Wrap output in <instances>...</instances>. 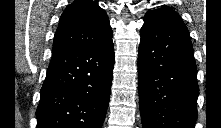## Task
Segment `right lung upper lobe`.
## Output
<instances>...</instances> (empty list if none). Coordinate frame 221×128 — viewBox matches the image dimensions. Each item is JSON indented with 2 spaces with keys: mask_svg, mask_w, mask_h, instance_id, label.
<instances>
[{
  "mask_svg": "<svg viewBox=\"0 0 221 128\" xmlns=\"http://www.w3.org/2000/svg\"><path fill=\"white\" fill-rule=\"evenodd\" d=\"M112 35L108 16L97 1L77 0L60 17L52 53L103 46Z\"/></svg>",
  "mask_w": 221,
  "mask_h": 128,
  "instance_id": "cb5924a9",
  "label": "right lung upper lobe"
}]
</instances>
